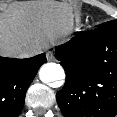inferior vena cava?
<instances>
[{
    "mask_svg": "<svg viewBox=\"0 0 117 117\" xmlns=\"http://www.w3.org/2000/svg\"><path fill=\"white\" fill-rule=\"evenodd\" d=\"M40 49L38 48H28L26 50H24L21 54H20V57L21 58H28V57H31V56H35L37 54L40 53Z\"/></svg>",
    "mask_w": 117,
    "mask_h": 117,
    "instance_id": "602c4592",
    "label": "inferior vena cava"
}]
</instances>
